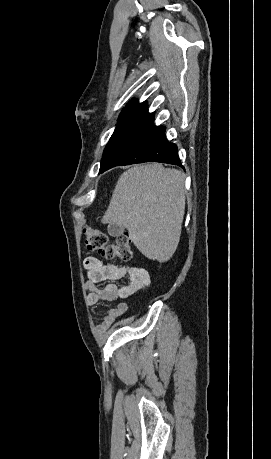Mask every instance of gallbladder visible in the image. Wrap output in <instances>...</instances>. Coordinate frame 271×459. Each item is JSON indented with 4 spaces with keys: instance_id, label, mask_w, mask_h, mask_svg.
Here are the masks:
<instances>
[{
    "instance_id": "bac80fb5",
    "label": "gallbladder",
    "mask_w": 271,
    "mask_h": 459,
    "mask_svg": "<svg viewBox=\"0 0 271 459\" xmlns=\"http://www.w3.org/2000/svg\"><path fill=\"white\" fill-rule=\"evenodd\" d=\"M125 229V226H117V224H109L108 226V233L109 235H113V237H117V235H121Z\"/></svg>"
}]
</instances>
